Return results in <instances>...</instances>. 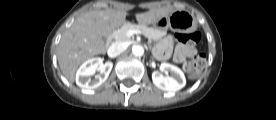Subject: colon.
<instances>
[{"label":"colon","instance_id":"5ec220e1","mask_svg":"<svg viewBox=\"0 0 276 120\" xmlns=\"http://www.w3.org/2000/svg\"><path fill=\"white\" fill-rule=\"evenodd\" d=\"M200 39L201 34L198 31L176 34V40L179 42L180 45H194L199 42ZM205 64L206 57L204 54L200 53L186 60L183 63V70L189 77L194 78L202 72Z\"/></svg>","mask_w":276,"mask_h":120}]
</instances>
